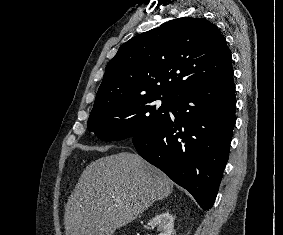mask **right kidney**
Here are the masks:
<instances>
[{"label":"right kidney","mask_w":283,"mask_h":235,"mask_svg":"<svg viewBox=\"0 0 283 235\" xmlns=\"http://www.w3.org/2000/svg\"><path fill=\"white\" fill-rule=\"evenodd\" d=\"M149 226L151 229L157 228L158 235H171L174 227L173 216L169 212H163L150 220Z\"/></svg>","instance_id":"1"}]
</instances>
